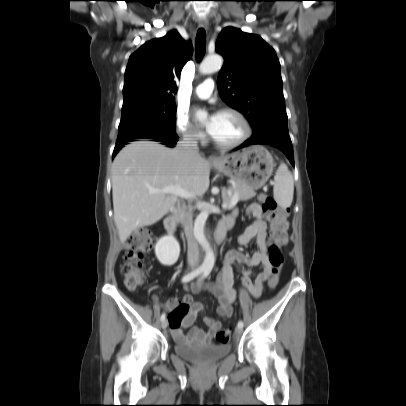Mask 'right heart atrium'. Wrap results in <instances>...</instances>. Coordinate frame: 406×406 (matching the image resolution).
Instances as JSON below:
<instances>
[{"instance_id": "1", "label": "right heart atrium", "mask_w": 406, "mask_h": 406, "mask_svg": "<svg viewBox=\"0 0 406 406\" xmlns=\"http://www.w3.org/2000/svg\"><path fill=\"white\" fill-rule=\"evenodd\" d=\"M175 129L177 134L185 141L196 143L205 139L204 133L194 128L186 115L179 113L176 116Z\"/></svg>"}]
</instances>
